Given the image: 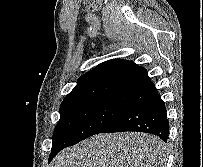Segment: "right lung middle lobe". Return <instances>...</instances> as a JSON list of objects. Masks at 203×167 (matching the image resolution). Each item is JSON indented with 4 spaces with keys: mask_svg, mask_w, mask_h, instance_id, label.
<instances>
[{
    "mask_svg": "<svg viewBox=\"0 0 203 167\" xmlns=\"http://www.w3.org/2000/svg\"><path fill=\"white\" fill-rule=\"evenodd\" d=\"M129 107L103 99H82L61 104L53 142L71 146L101 133Z\"/></svg>",
    "mask_w": 203,
    "mask_h": 167,
    "instance_id": "dd1d6c3e",
    "label": "right lung middle lobe"
}]
</instances>
